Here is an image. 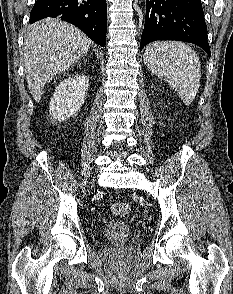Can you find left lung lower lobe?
I'll return each instance as SVG.
<instances>
[{"mask_svg": "<svg viewBox=\"0 0 233 294\" xmlns=\"http://www.w3.org/2000/svg\"><path fill=\"white\" fill-rule=\"evenodd\" d=\"M157 40L198 45L210 56L201 0H146V19L140 51Z\"/></svg>", "mask_w": 233, "mask_h": 294, "instance_id": "0a47b994", "label": "left lung lower lobe"}]
</instances>
